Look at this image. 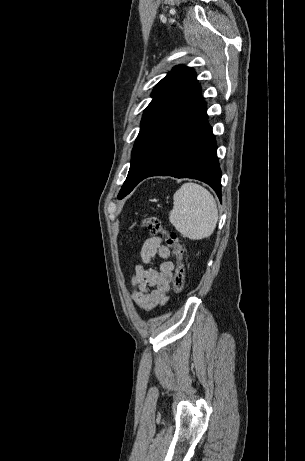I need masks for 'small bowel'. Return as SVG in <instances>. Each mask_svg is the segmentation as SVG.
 Listing matches in <instances>:
<instances>
[{"mask_svg":"<svg viewBox=\"0 0 305 461\" xmlns=\"http://www.w3.org/2000/svg\"><path fill=\"white\" fill-rule=\"evenodd\" d=\"M171 251L160 237H150L140 250L141 263L135 267L130 279L132 299L143 311H152L168 301V292L173 278L174 263ZM161 263L158 269L151 268L154 259Z\"/></svg>","mask_w":305,"mask_h":461,"instance_id":"obj_1","label":"small bowel"}]
</instances>
